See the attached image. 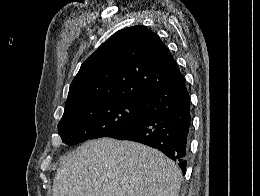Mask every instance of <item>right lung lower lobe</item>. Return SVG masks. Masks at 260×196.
<instances>
[{"mask_svg": "<svg viewBox=\"0 0 260 196\" xmlns=\"http://www.w3.org/2000/svg\"><path fill=\"white\" fill-rule=\"evenodd\" d=\"M138 107L146 118L112 138L157 148L185 174L192 118L184 76L140 99Z\"/></svg>", "mask_w": 260, "mask_h": 196, "instance_id": "right-lung-lower-lobe-1", "label": "right lung lower lobe"}]
</instances>
